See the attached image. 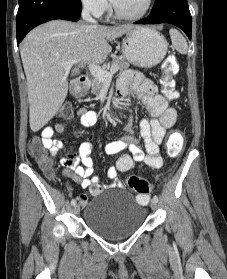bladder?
Wrapping results in <instances>:
<instances>
[{
  "label": "bladder",
  "mask_w": 227,
  "mask_h": 279,
  "mask_svg": "<svg viewBox=\"0 0 227 279\" xmlns=\"http://www.w3.org/2000/svg\"><path fill=\"white\" fill-rule=\"evenodd\" d=\"M146 210L126 190L110 195L96 194L85 212L84 222L94 234L111 241L135 233L143 224Z\"/></svg>",
  "instance_id": "obj_1"
}]
</instances>
